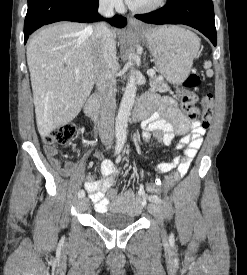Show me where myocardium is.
I'll use <instances>...</instances> for the list:
<instances>
[{
	"mask_svg": "<svg viewBox=\"0 0 247 275\" xmlns=\"http://www.w3.org/2000/svg\"><path fill=\"white\" fill-rule=\"evenodd\" d=\"M167 0H156L153 3L144 6V7H135L132 4L128 3L129 8L134 11V12H138V13H149V12H153L156 11L158 9H160L162 6H164V4L166 3Z\"/></svg>",
	"mask_w": 247,
	"mask_h": 275,
	"instance_id": "f54148a6",
	"label": "myocardium"
}]
</instances>
